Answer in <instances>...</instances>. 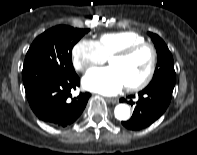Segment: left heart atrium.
<instances>
[{"label": "left heart atrium", "mask_w": 197, "mask_h": 155, "mask_svg": "<svg viewBox=\"0 0 197 155\" xmlns=\"http://www.w3.org/2000/svg\"><path fill=\"white\" fill-rule=\"evenodd\" d=\"M83 86L104 95H114L126 84L119 71L109 66L90 70L83 78Z\"/></svg>", "instance_id": "obj_1"}]
</instances>
